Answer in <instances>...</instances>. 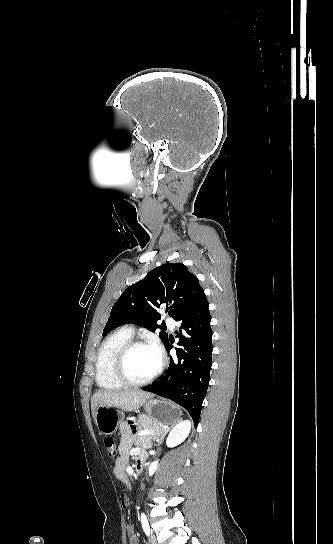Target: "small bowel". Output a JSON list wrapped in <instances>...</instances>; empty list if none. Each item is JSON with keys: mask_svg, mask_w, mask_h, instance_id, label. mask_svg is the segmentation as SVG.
Wrapping results in <instances>:
<instances>
[{"mask_svg": "<svg viewBox=\"0 0 333 544\" xmlns=\"http://www.w3.org/2000/svg\"><path fill=\"white\" fill-rule=\"evenodd\" d=\"M121 439L118 446V455L114 460V475L119 480V482L125 486L129 487L130 482L127 475V463L129 458V451L134 440L133 427L130 424H122L120 428ZM121 506L123 508L128 506V498L125 495H122L120 498ZM129 544H138V539L135 534L134 528L131 525H128L126 528Z\"/></svg>", "mask_w": 333, "mask_h": 544, "instance_id": "1", "label": "small bowel"}]
</instances>
